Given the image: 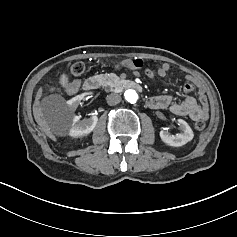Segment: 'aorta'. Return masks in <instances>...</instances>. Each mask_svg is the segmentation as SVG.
<instances>
[{
	"mask_svg": "<svg viewBox=\"0 0 237 237\" xmlns=\"http://www.w3.org/2000/svg\"><path fill=\"white\" fill-rule=\"evenodd\" d=\"M124 97L129 103L133 104V103H136V101L138 99V94L136 93L135 90L128 89V90L125 91Z\"/></svg>",
	"mask_w": 237,
	"mask_h": 237,
	"instance_id": "obj_1",
	"label": "aorta"
}]
</instances>
